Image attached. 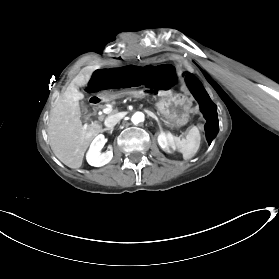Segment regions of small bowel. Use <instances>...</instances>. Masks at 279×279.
I'll list each match as a JSON object with an SVG mask.
<instances>
[{
    "instance_id": "obj_1",
    "label": "small bowel",
    "mask_w": 279,
    "mask_h": 279,
    "mask_svg": "<svg viewBox=\"0 0 279 279\" xmlns=\"http://www.w3.org/2000/svg\"><path fill=\"white\" fill-rule=\"evenodd\" d=\"M178 78L173 68L161 66L155 70L150 79V86L155 89H170L176 86Z\"/></svg>"
}]
</instances>
